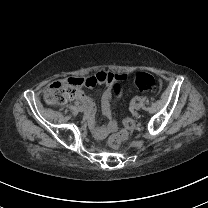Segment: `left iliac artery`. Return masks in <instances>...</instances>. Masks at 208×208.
<instances>
[{"label": "left iliac artery", "instance_id": "obj_1", "mask_svg": "<svg viewBox=\"0 0 208 208\" xmlns=\"http://www.w3.org/2000/svg\"><path fill=\"white\" fill-rule=\"evenodd\" d=\"M136 99H137V100H140V98H139V97H137Z\"/></svg>", "mask_w": 208, "mask_h": 208}]
</instances>
